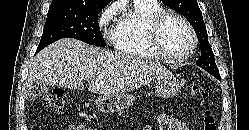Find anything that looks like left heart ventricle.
I'll list each match as a JSON object with an SVG mask.
<instances>
[{
    "instance_id": "b2bd125f",
    "label": "left heart ventricle",
    "mask_w": 249,
    "mask_h": 130,
    "mask_svg": "<svg viewBox=\"0 0 249 130\" xmlns=\"http://www.w3.org/2000/svg\"><path fill=\"white\" fill-rule=\"evenodd\" d=\"M161 45L173 57H180L187 53L191 38L186 27L177 19H169L161 30Z\"/></svg>"
}]
</instances>
